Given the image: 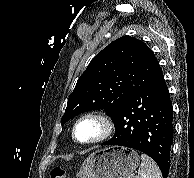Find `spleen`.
<instances>
[{"instance_id": "3e777b00", "label": "spleen", "mask_w": 194, "mask_h": 178, "mask_svg": "<svg viewBox=\"0 0 194 178\" xmlns=\"http://www.w3.org/2000/svg\"><path fill=\"white\" fill-rule=\"evenodd\" d=\"M142 163L135 178H162L157 164L147 155H141Z\"/></svg>"}]
</instances>
